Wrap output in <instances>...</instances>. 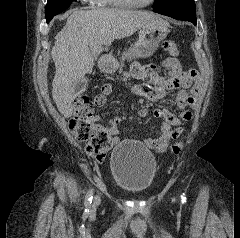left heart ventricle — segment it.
Returning a JSON list of instances; mask_svg holds the SVG:
<instances>
[{
    "label": "left heart ventricle",
    "instance_id": "1",
    "mask_svg": "<svg viewBox=\"0 0 240 238\" xmlns=\"http://www.w3.org/2000/svg\"><path fill=\"white\" fill-rule=\"evenodd\" d=\"M128 1H132V2H138V3H145L148 0H128Z\"/></svg>",
    "mask_w": 240,
    "mask_h": 238
}]
</instances>
